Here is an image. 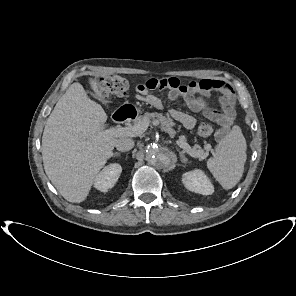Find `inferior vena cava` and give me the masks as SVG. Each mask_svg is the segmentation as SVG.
<instances>
[{"instance_id":"inferior-vena-cava-1","label":"inferior vena cava","mask_w":296,"mask_h":296,"mask_svg":"<svg viewBox=\"0 0 296 296\" xmlns=\"http://www.w3.org/2000/svg\"><path fill=\"white\" fill-rule=\"evenodd\" d=\"M115 147L118 151L126 152L134 147V141L131 138H120L116 141Z\"/></svg>"}]
</instances>
